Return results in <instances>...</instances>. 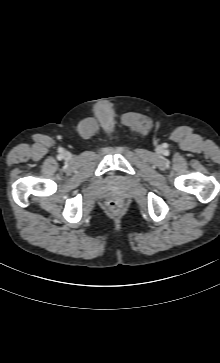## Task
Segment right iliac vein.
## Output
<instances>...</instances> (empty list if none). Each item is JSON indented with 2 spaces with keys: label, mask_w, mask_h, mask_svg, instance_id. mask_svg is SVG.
Wrapping results in <instances>:
<instances>
[{
  "label": "right iliac vein",
  "mask_w": 220,
  "mask_h": 363,
  "mask_svg": "<svg viewBox=\"0 0 220 363\" xmlns=\"http://www.w3.org/2000/svg\"><path fill=\"white\" fill-rule=\"evenodd\" d=\"M63 157L65 159H69L71 157V154L68 151L63 152Z\"/></svg>",
  "instance_id": "obj_1"
}]
</instances>
